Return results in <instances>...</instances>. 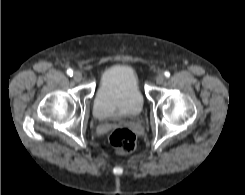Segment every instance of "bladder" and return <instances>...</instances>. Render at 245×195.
<instances>
[{"label":"bladder","mask_w":245,"mask_h":195,"mask_svg":"<svg viewBox=\"0 0 245 195\" xmlns=\"http://www.w3.org/2000/svg\"><path fill=\"white\" fill-rule=\"evenodd\" d=\"M143 106L138 77L131 66L117 64L103 73L93 103V114L97 119L135 117Z\"/></svg>","instance_id":"obj_1"}]
</instances>
